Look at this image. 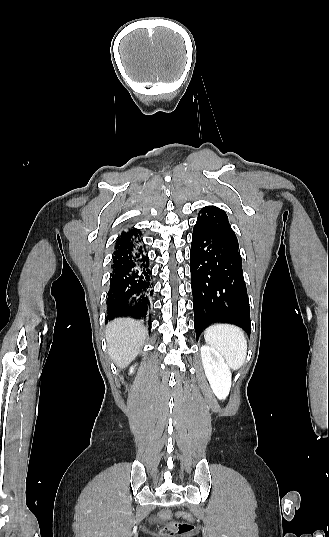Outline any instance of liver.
I'll return each instance as SVG.
<instances>
[{"mask_svg": "<svg viewBox=\"0 0 329 537\" xmlns=\"http://www.w3.org/2000/svg\"><path fill=\"white\" fill-rule=\"evenodd\" d=\"M147 335L148 331L142 323L130 318H119L108 323V353L118 368H125L136 358Z\"/></svg>", "mask_w": 329, "mask_h": 537, "instance_id": "6515ba94", "label": "liver"}]
</instances>
